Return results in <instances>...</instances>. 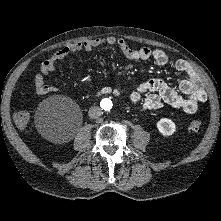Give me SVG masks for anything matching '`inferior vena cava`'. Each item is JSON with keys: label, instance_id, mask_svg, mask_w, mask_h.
<instances>
[{"label": "inferior vena cava", "instance_id": "inferior-vena-cava-1", "mask_svg": "<svg viewBox=\"0 0 221 221\" xmlns=\"http://www.w3.org/2000/svg\"><path fill=\"white\" fill-rule=\"evenodd\" d=\"M88 115L92 119H96L102 115V109L98 106H93L89 109Z\"/></svg>", "mask_w": 221, "mask_h": 221}]
</instances>
